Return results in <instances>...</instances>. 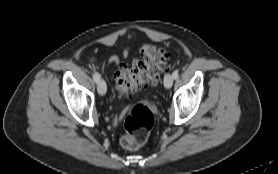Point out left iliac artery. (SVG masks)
I'll list each match as a JSON object with an SVG mask.
<instances>
[{"label": "left iliac artery", "instance_id": "1", "mask_svg": "<svg viewBox=\"0 0 278 174\" xmlns=\"http://www.w3.org/2000/svg\"><path fill=\"white\" fill-rule=\"evenodd\" d=\"M172 76H173L174 79H177L178 78V71L174 70L173 73H172Z\"/></svg>", "mask_w": 278, "mask_h": 174}]
</instances>
